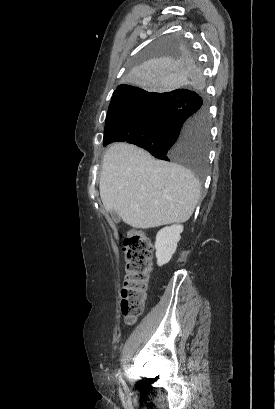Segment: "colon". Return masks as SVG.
<instances>
[{
    "label": "colon",
    "mask_w": 275,
    "mask_h": 409,
    "mask_svg": "<svg viewBox=\"0 0 275 409\" xmlns=\"http://www.w3.org/2000/svg\"><path fill=\"white\" fill-rule=\"evenodd\" d=\"M120 243L126 255L120 309L125 322L133 324L143 312L151 279L152 245L143 231H125Z\"/></svg>",
    "instance_id": "obj_1"
}]
</instances>
